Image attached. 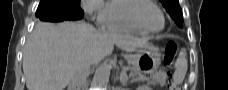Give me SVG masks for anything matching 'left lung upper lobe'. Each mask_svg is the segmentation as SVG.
I'll return each mask as SVG.
<instances>
[{
	"label": "left lung upper lobe",
	"mask_w": 228,
	"mask_h": 90,
	"mask_svg": "<svg viewBox=\"0 0 228 90\" xmlns=\"http://www.w3.org/2000/svg\"><path fill=\"white\" fill-rule=\"evenodd\" d=\"M179 27H182V10L178 0H160Z\"/></svg>",
	"instance_id": "1"
}]
</instances>
